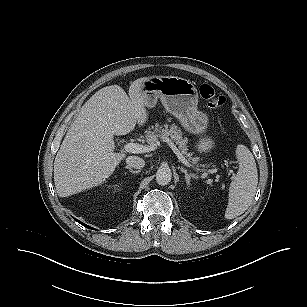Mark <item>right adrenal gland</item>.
I'll use <instances>...</instances> for the list:
<instances>
[{"mask_svg":"<svg viewBox=\"0 0 307 307\" xmlns=\"http://www.w3.org/2000/svg\"><path fill=\"white\" fill-rule=\"evenodd\" d=\"M125 168L128 169L131 173H134V174L140 172V170H133V169H132L131 167H129V166H126Z\"/></svg>","mask_w":307,"mask_h":307,"instance_id":"1","label":"right adrenal gland"}]
</instances>
